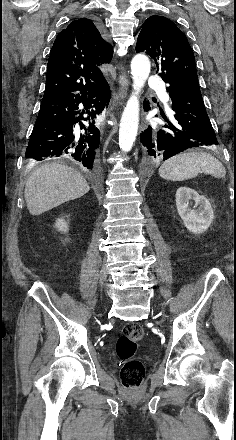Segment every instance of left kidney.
I'll list each match as a JSON object with an SVG mask.
<instances>
[{
    "mask_svg": "<svg viewBox=\"0 0 236 440\" xmlns=\"http://www.w3.org/2000/svg\"><path fill=\"white\" fill-rule=\"evenodd\" d=\"M193 202L195 203L194 207ZM176 207L187 230L194 234L205 232L214 219L210 201L194 189L180 187L176 191Z\"/></svg>",
    "mask_w": 236,
    "mask_h": 440,
    "instance_id": "1",
    "label": "left kidney"
}]
</instances>
